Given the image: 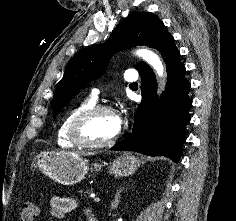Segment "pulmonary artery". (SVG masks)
<instances>
[{"label": "pulmonary artery", "mask_w": 236, "mask_h": 221, "mask_svg": "<svg viewBox=\"0 0 236 221\" xmlns=\"http://www.w3.org/2000/svg\"><path fill=\"white\" fill-rule=\"evenodd\" d=\"M124 80L126 82L132 83L135 82L137 80V76L133 73V71H127L124 74ZM99 94V90L98 89H94L92 91V99L96 100Z\"/></svg>", "instance_id": "1"}]
</instances>
